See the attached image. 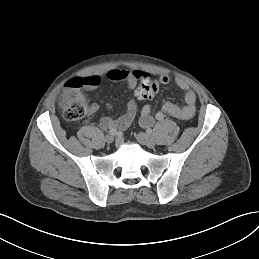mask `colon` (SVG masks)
<instances>
[{
    "mask_svg": "<svg viewBox=\"0 0 259 259\" xmlns=\"http://www.w3.org/2000/svg\"><path fill=\"white\" fill-rule=\"evenodd\" d=\"M85 80L82 78H73L69 80L62 95L61 105L65 117L72 121L83 119L88 113V105L85 97L81 92L84 87ZM159 87L150 81L140 83L135 91L138 99L147 100L157 95Z\"/></svg>",
    "mask_w": 259,
    "mask_h": 259,
    "instance_id": "colon-1",
    "label": "colon"
}]
</instances>
